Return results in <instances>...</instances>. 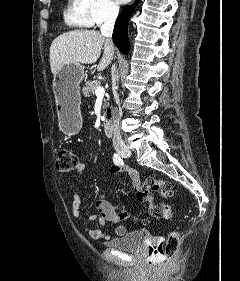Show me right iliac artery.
<instances>
[{"instance_id": "right-iliac-artery-1", "label": "right iliac artery", "mask_w": 240, "mask_h": 281, "mask_svg": "<svg viewBox=\"0 0 240 281\" xmlns=\"http://www.w3.org/2000/svg\"><path fill=\"white\" fill-rule=\"evenodd\" d=\"M113 162H114L116 165H124L123 159H122L118 154H114V156H113Z\"/></svg>"}]
</instances>
